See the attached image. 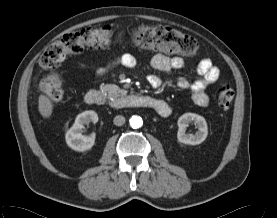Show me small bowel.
<instances>
[{
    "label": "small bowel",
    "instance_id": "obj_1",
    "mask_svg": "<svg viewBox=\"0 0 277 218\" xmlns=\"http://www.w3.org/2000/svg\"><path fill=\"white\" fill-rule=\"evenodd\" d=\"M119 62L125 67L132 68L136 65V58L130 53H125L120 57ZM184 63V59L180 56H166L163 54H156L151 60V66L160 71L181 69ZM80 67L84 68V65H80ZM109 69V65L98 68L95 71V77H103L108 73ZM197 72L200 75L197 80L190 82L185 77H179L176 81V86L181 90H189L193 102L197 106L205 107L209 102L207 88L220 78V70L209 58H203L197 65ZM147 81L153 88H158L162 83L161 79L156 75H149ZM162 103L158 112L161 115H165L169 112L170 108L166 102L162 101Z\"/></svg>",
    "mask_w": 277,
    "mask_h": 218
}]
</instances>
